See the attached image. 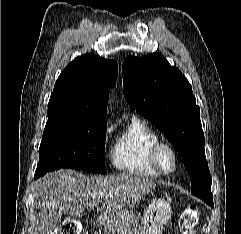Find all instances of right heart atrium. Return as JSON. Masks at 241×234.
<instances>
[{"instance_id": "obj_1", "label": "right heart atrium", "mask_w": 241, "mask_h": 234, "mask_svg": "<svg viewBox=\"0 0 241 234\" xmlns=\"http://www.w3.org/2000/svg\"><path fill=\"white\" fill-rule=\"evenodd\" d=\"M109 132H110V129H109V128H107V129H106V133H109Z\"/></svg>"}]
</instances>
